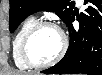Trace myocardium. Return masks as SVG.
<instances>
[{
    "label": "myocardium",
    "instance_id": "obj_1",
    "mask_svg": "<svg viewBox=\"0 0 102 75\" xmlns=\"http://www.w3.org/2000/svg\"><path fill=\"white\" fill-rule=\"evenodd\" d=\"M43 27L55 28L59 32V34L61 36V40H62V45H61L60 51L51 61H48V62L36 61L31 56L30 51H29V45H30L32 38ZM67 47H68L67 36L64 33V31L60 28V26L53 20L44 19V20L36 21L33 24V26L29 29V31L26 33V35L24 36L23 41H22L21 50H22L23 57L29 66L44 68V67L52 66V65L56 64L58 61H60L62 59V57L65 55Z\"/></svg>",
    "mask_w": 102,
    "mask_h": 75
}]
</instances>
